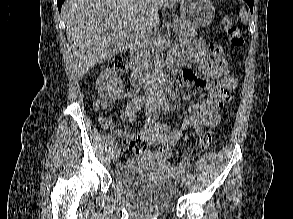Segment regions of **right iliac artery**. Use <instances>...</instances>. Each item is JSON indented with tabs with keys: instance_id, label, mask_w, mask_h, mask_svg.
<instances>
[{
	"instance_id": "82829eb1",
	"label": "right iliac artery",
	"mask_w": 293,
	"mask_h": 219,
	"mask_svg": "<svg viewBox=\"0 0 293 219\" xmlns=\"http://www.w3.org/2000/svg\"><path fill=\"white\" fill-rule=\"evenodd\" d=\"M158 117H159L158 114H154V115L148 116V118L145 120L144 126L147 127L148 125H150L151 123H153ZM116 149H118L117 144L114 145L113 151H115Z\"/></svg>"
}]
</instances>
